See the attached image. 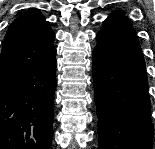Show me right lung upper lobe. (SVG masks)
<instances>
[{
	"label": "right lung upper lobe",
	"mask_w": 155,
	"mask_h": 149,
	"mask_svg": "<svg viewBox=\"0 0 155 149\" xmlns=\"http://www.w3.org/2000/svg\"><path fill=\"white\" fill-rule=\"evenodd\" d=\"M54 33L38 9L25 11L9 26L0 54V78L39 66L55 56Z\"/></svg>",
	"instance_id": "obj_1"
}]
</instances>
